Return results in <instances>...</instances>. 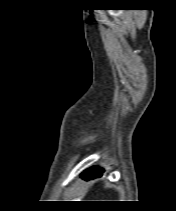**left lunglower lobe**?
<instances>
[{"label": "left lung lower lobe", "instance_id": "1", "mask_svg": "<svg viewBox=\"0 0 176 211\" xmlns=\"http://www.w3.org/2000/svg\"><path fill=\"white\" fill-rule=\"evenodd\" d=\"M103 169L98 167H92L88 170H86L84 173L81 174V176L85 179H92L101 176V173H103Z\"/></svg>", "mask_w": 176, "mask_h": 211}]
</instances>
